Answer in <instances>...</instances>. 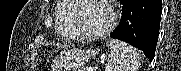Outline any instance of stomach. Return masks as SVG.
Instances as JSON below:
<instances>
[{
    "instance_id": "0dacf381",
    "label": "stomach",
    "mask_w": 181,
    "mask_h": 71,
    "mask_svg": "<svg viewBox=\"0 0 181 71\" xmlns=\"http://www.w3.org/2000/svg\"><path fill=\"white\" fill-rule=\"evenodd\" d=\"M95 50L69 49L61 52L54 60V66L58 71H71L83 66L90 58L95 57Z\"/></svg>"
}]
</instances>
